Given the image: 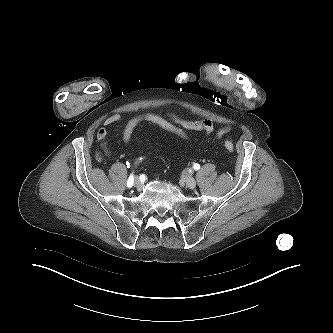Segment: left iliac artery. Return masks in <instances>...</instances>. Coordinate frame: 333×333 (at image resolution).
<instances>
[{
	"mask_svg": "<svg viewBox=\"0 0 333 333\" xmlns=\"http://www.w3.org/2000/svg\"><path fill=\"white\" fill-rule=\"evenodd\" d=\"M193 168H194L195 170H199V169H200V165H199L198 163H195V164L193 165Z\"/></svg>",
	"mask_w": 333,
	"mask_h": 333,
	"instance_id": "44dca946",
	"label": "left iliac artery"
}]
</instances>
